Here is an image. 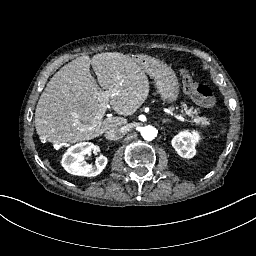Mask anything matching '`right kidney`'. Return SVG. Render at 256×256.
Segmentation results:
<instances>
[{"mask_svg":"<svg viewBox=\"0 0 256 256\" xmlns=\"http://www.w3.org/2000/svg\"><path fill=\"white\" fill-rule=\"evenodd\" d=\"M96 149V145L85 142L76 144L64 154L62 166L73 175L92 177L99 175L106 167L108 160L100 155L95 164H84V155L90 154Z\"/></svg>","mask_w":256,"mask_h":256,"instance_id":"right-kidney-1","label":"right kidney"}]
</instances>
